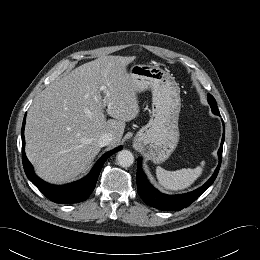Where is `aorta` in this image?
Returning a JSON list of instances; mask_svg holds the SVG:
<instances>
[{"label":"aorta","mask_w":260,"mask_h":260,"mask_svg":"<svg viewBox=\"0 0 260 260\" xmlns=\"http://www.w3.org/2000/svg\"><path fill=\"white\" fill-rule=\"evenodd\" d=\"M116 160L121 167H130L134 163V155L129 150H121L118 152Z\"/></svg>","instance_id":"1"}]
</instances>
